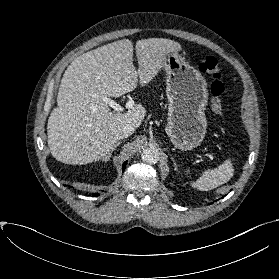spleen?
<instances>
[{
    "instance_id": "spleen-1",
    "label": "spleen",
    "mask_w": 279,
    "mask_h": 279,
    "mask_svg": "<svg viewBox=\"0 0 279 279\" xmlns=\"http://www.w3.org/2000/svg\"><path fill=\"white\" fill-rule=\"evenodd\" d=\"M234 174V169L230 160L220 165L214 170H208L203 173L200 179L193 183V186L201 191L212 190L228 182Z\"/></svg>"
}]
</instances>
